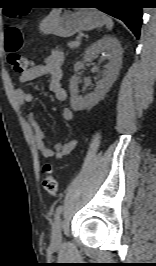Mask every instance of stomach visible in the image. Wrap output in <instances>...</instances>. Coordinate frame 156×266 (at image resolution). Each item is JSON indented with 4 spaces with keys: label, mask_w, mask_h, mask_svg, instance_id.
Masks as SVG:
<instances>
[{
    "label": "stomach",
    "mask_w": 156,
    "mask_h": 266,
    "mask_svg": "<svg viewBox=\"0 0 156 266\" xmlns=\"http://www.w3.org/2000/svg\"><path fill=\"white\" fill-rule=\"evenodd\" d=\"M65 5H72L66 3ZM105 24V15L96 9H54L40 23L43 34L70 37L79 31H88Z\"/></svg>",
    "instance_id": "obj_1"
}]
</instances>
